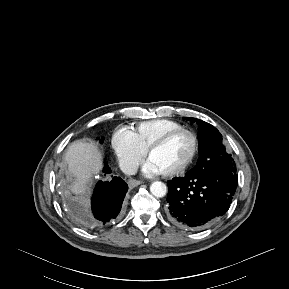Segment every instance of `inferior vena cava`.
<instances>
[{"label": "inferior vena cava", "mask_w": 289, "mask_h": 289, "mask_svg": "<svg viewBox=\"0 0 289 289\" xmlns=\"http://www.w3.org/2000/svg\"><path fill=\"white\" fill-rule=\"evenodd\" d=\"M121 170L127 175H134L137 172L138 166L134 162H124L121 164Z\"/></svg>", "instance_id": "inferior-vena-cava-1"}]
</instances>
